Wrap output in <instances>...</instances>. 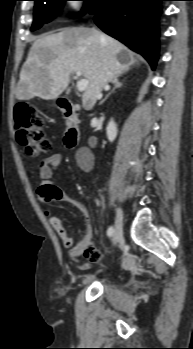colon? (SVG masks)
<instances>
[{
    "label": "colon",
    "mask_w": 193,
    "mask_h": 349,
    "mask_svg": "<svg viewBox=\"0 0 193 349\" xmlns=\"http://www.w3.org/2000/svg\"><path fill=\"white\" fill-rule=\"evenodd\" d=\"M14 118L17 141L28 154L39 155L50 149V141L44 133V122L33 106L16 105Z\"/></svg>",
    "instance_id": "1"
}]
</instances>
